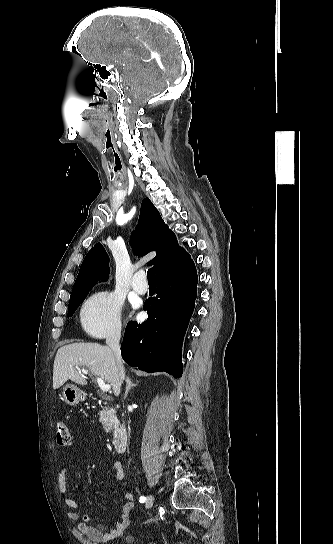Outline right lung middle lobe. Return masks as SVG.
Returning <instances> with one entry per match:
<instances>
[{
	"label": "right lung middle lobe",
	"mask_w": 333,
	"mask_h": 544,
	"mask_svg": "<svg viewBox=\"0 0 333 544\" xmlns=\"http://www.w3.org/2000/svg\"><path fill=\"white\" fill-rule=\"evenodd\" d=\"M89 291L82 292L80 294H76L70 297V303L68 305V315L72 316L75 310L78 308L79 304H81L84 299L86 298Z\"/></svg>",
	"instance_id": "obj_1"
}]
</instances>
